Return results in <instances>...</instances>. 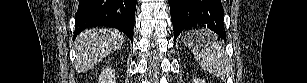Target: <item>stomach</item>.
I'll use <instances>...</instances> for the list:
<instances>
[{
	"label": "stomach",
	"mask_w": 307,
	"mask_h": 83,
	"mask_svg": "<svg viewBox=\"0 0 307 83\" xmlns=\"http://www.w3.org/2000/svg\"><path fill=\"white\" fill-rule=\"evenodd\" d=\"M188 34V33H187ZM183 41H184V43L186 44V45H188L189 47H192V42H191V40L189 39V38H187V39H185L184 40V38H183Z\"/></svg>",
	"instance_id": "obj_1"
}]
</instances>
